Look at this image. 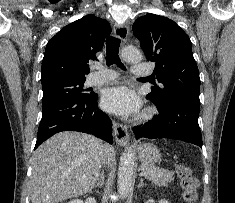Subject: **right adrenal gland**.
I'll use <instances>...</instances> for the list:
<instances>
[{
    "instance_id": "right-adrenal-gland-1",
    "label": "right adrenal gland",
    "mask_w": 235,
    "mask_h": 203,
    "mask_svg": "<svg viewBox=\"0 0 235 203\" xmlns=\"http://www.w3.org/2000/svg\"><path fill=\"white\" fill-rule=\"evenodd\" d=\"M104 185V174L102 173L100 175V180L97 183V185L94 188H102V186Z\"/></svg>"
}]
</instances>
